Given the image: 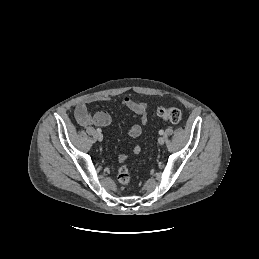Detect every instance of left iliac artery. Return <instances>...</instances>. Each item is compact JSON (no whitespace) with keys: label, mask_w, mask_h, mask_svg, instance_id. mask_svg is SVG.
I'll use <instances>...</instances> for the list:
<instances>
[{"label":"left iliac artery","mask_w":259,"mask_h":259,"mask_svg":"<svg viewBox=\"0 0 259 259\" xmlns=\"http://www.w3.org/2000/svg\"><path fill=\"white\" fill-rule=\"evenodd\" d=\"M159 134H160V135H163V134H164V131H163V130H160V131H159Z\"/></svg>","instance_id":"44dca946"}]
</instances>
